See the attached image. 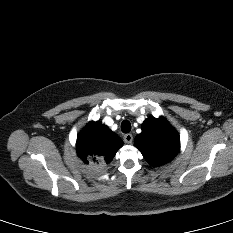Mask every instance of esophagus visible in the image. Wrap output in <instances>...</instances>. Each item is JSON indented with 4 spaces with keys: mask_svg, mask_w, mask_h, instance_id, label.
<instances>
[{
    "mask_svg": "<svg viewBox=\"0 0 233 233\" xmlns=\"http://www.w3.org/2000/svg\"><path fill=\"white\" fill-rule=\"evenodd\" d=\"M133 141V136L132 134H125L124 135V142L127 144H131Z\"/></svg>",
    "mask_w": 233,
    "mask_h": 233,
    "instance_id": "obj_1",
    "label": "esophagus"
}]
</instances>
